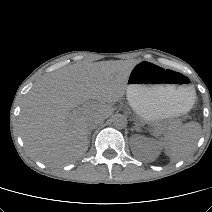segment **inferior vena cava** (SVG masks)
<instances>
[{"instance_id": "inferior-vena-cava-1", "label": "inferior vena cava", "mask_w": 212, "mask_h": 212, "mask_svg": "<svg viewBox=\"0 0 212 212\" xmlns=\"http://www.w3.org/2000/svg\"><path fill=\"white\" fill-rule=\"evenodd\" d=\"M104 122V117L94 114L88 117L87 119V125L88 128L93 129L97 127L98 125L102 124Z\"/></svg>"}]
</instances>
